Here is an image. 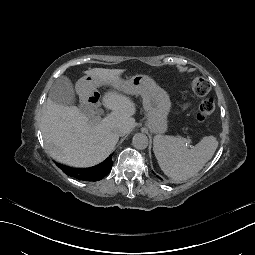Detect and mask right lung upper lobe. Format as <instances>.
Returning <instances> with one entry per match:
<instances>
[{
	"mask_svg": "<svg viewBox=\"0 0 255 255\" xmlns=\"http://www.w3.org/2000/svg\"><path fill=\"white\" fill-rule=\"evenodd\" d=\"M57 166L69 176H72L78 180L83 181H98L104 178L112 168V155H110L104 162L101 164L91 167V168H72L67 167L61 164H57Z\"/></svg>",
	"mask_w": 255,
	"mask_h": 255,
	"instance_id": "cb5924a9",
	"label": "right lung upper lobe"
}]
</instances>
